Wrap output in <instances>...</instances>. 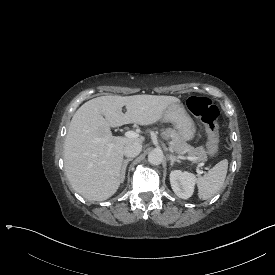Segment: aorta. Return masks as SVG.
<instances>
[{
    "instance_id": "1",
    "label": "aorta",
    "mask_w": 275,
    "mask_h": 275,
    "mask_svg": "<svg viewBox=\"0 0 275 275\" xmlns=\"http://www.w3.org/2000/svg\"><path fill=\"white\" fill-rule=\"evenodd\" d=\"M148 161L153 165H159L163 161V152L159 149H154L148 154Z\"/></svg>"
}]
</instances>
